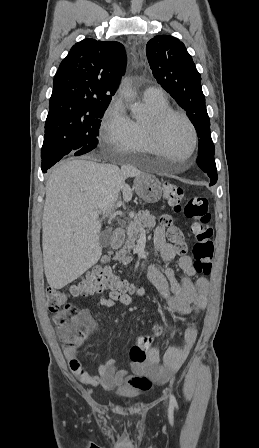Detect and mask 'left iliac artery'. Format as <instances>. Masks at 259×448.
<instances>
[{
	"mask_svg": "<svg viewBox=\"0 0 259 448\" xmlns=\"http://www.w3.org/2000/svg\"><path fill=\"white\" fill-rule=\"evenodd\" d=\"M170 408H178L176 398L173 394L170 395Z\"/></svg>",
	"mask_w": 259,
	"mask_h": 448,
	"instance_id": "1",
	"label": "left iliac artery"
}]
</instances>
